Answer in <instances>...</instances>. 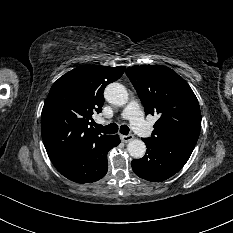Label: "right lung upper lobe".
I'll return each mask as SVG.
<instances>
[{"mask_svg":"<svg viewBox=\"0 0 233 233\" xmlns=\"http://www.w3.org/2000/svg\"><path fill=\"white\" fill-rule=\"evenodd\" d=\"M124 66H80L60 77L51 87L41 114V134L51 160L93 147L106 140L91 125L100 113L103 91L124 73Z\"/></svg>","mask_w":233,"mask_h":233,"instance_id":"obj_1","label":"right lung upper lobe"}]
</instances>
